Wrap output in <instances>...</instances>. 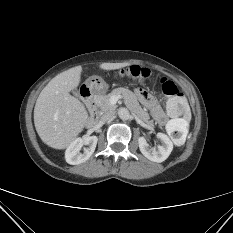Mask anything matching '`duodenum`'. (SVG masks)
Here are the masks:
<instances>
[{
	"label": "duodenum",
	"mask_w": 233,
	"mask_h": 233,
	"mask_svg": "<svg viewBox=\"0 0 233 233\" xmlns=\"http://www.w3.org/2000/svg\"><path fill=\"white\" fill-rule=\"evenodd\" d=\"M81 96L84 99V101H85V103L90 111L88 124H89V126H93L97 123L98 118H99V113L97 110L94 90L88 86H84L81 89Z\"/></svg>",
	"instance_id": "duodenum-1"
}]
</instances>
